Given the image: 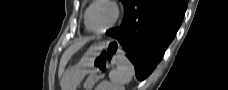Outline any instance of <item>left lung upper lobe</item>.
Listing matches in <instances>:
<instances>
[{"instance_id": "1", "label": "left lung upper lobe", "mask_w": 228, "mask_h": 90, "mask_svg": "<svg viewBox=\"0 0 228 90\" xmlns=\"http://www.w3.org/2000/svg\"><path fill=\"white\" fill-rule=\"evenodd\" d=\"M121 2L123 3V6H125L128 0H121Z\"/></svg>"}]
</instances>
